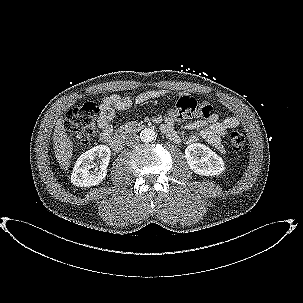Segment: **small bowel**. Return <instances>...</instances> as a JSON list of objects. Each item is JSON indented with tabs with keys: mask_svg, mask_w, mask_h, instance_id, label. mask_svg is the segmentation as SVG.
<instances>
[{
	"mask_svg": "<svg viewBox=\"0 0 303 303\" xmlns=\"http://www.w3.org/2000/svg\"><path fill=\"white\" fill-rule=\"evenodd\" d=\"M171 92L165 89L149 90L138 94L135 98V103L144 104L151 99L163 98L170 96ZM185 96V95H184ZM132 105V100L127 96L112 94L105 96L99 106V114L97 124L100 129L98 139L107 144L112 138V127L110 121L115 116V110H126ZM200 111L202 115L200 119L185 124L187 130H200L198 136H191L189 141H197L202 139L208 142L219 152H224L221 139L228 129L239 126L240 119L237 116H229L221 119L218 114L212 111L208 103H201ZM181 118L171 114L168 115L162 124L163 131L173 133V137L169 138L174 142L180 141V136L174 128V123Z\"/></svg>",
	"mask_w": 303,
	"mask_h": 303,
	"instance_id": "obj_1",
	"label": "small bowel"
}]
</instances>
